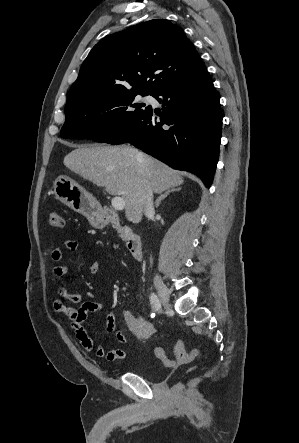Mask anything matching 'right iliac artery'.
I'll list each match as a JSON object with an SVG mask.
<instances>
[{"mask_svg": "<svg viewBox=\"0 0 299 443\" xmlns=\"http://www.w3.org/2000/svg\"><path fill=\"white\" fill-rule=\"evenodd\" d=\"M150 301H151V304L153 305V307L155 308L156 311H160L161 310L160 300H159L158 296L155 293L151 294Z\"/></svg>", "mask_w": 299, "mask_h": 443, "instance_id": "right-iliac-artery-1", "label": "right iliac artery"}]
</instances>
